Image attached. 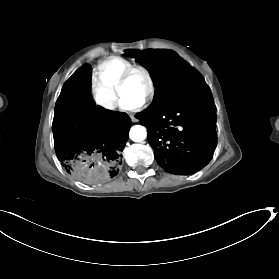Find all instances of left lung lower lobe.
I'll return each instance as SVG.
<instances>
[{"label": "left lung lower lobe", "instance_id": "0a47b994", "mask_svg": "<svg viewBox=\"0 0 279 279\" xmlns=\"http://www.w3.org/2000/svg\"><path fill=\"white\" fill-rule=\"evenodd\" d=\"M148 129L157 163L168 173L188 175L205 167L216 147V113L207 87L157 115H136Z\"/></svg>", "mask_w": 279, "mask_h": 279}]
</instances>
